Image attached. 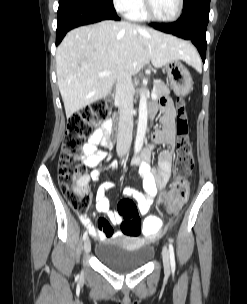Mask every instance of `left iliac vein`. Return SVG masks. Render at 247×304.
Returning a JSON list of instances; mask_svg holds the SVG:
<instances>
[{
    "instance_id": "obj_1",
    "label": "left iliac vein",
    "mask_w": 247,
    "mask_h": 304,
    "mask_svg": "<svg viewBox=\"0 0 247 304\" xmlns=\"http://www.w3.org/2000/svg\"><path fill=\"white\" fill-rule=\"evenodd\" d=\"M162 257H163L164 271L166 274H169L170 273V256H169V251L166 246L163 247Z\"/></svg>"
}]
</instances>
